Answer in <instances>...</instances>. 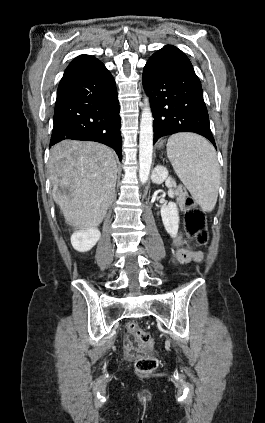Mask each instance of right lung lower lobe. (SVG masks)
<instances>
[{
  "mask_svg": "<svg viewBox=\"0 0 265 423\" xmlns=\"http://www.w3.org/2000/svg\"><path fill=\"white\" fill-rule=\"evenodd\" d=\"M119 111L110 72L94 57H76L58 86L50 147L66 139L96 141L112 147L121 160Z\"/></svg>",
  "mask_w": 265,
  "mask_h": 423,
  "instance_id": "right-lung-lower-lobe-1",
  "label": "right lung lower lobe"
}]
</instances>
